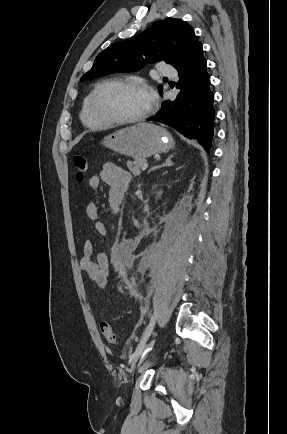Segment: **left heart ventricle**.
<instances>
[{
  "label": "left heart ventricle",
  "mask_w": 287,
  "mask_h": 434,
  "mask_svg": "<svg viewBox=\"0 0 287 434\" xmlns=\"http://www.w3.org/2000/svg\"><path fill=\"white\" fill-rule=\"evenodd\" d=\"M150 102L146 90L138 87L111 85L99 94L97 106L106 116L127 119L144 113Z\"/></svg>",
  "instance_id": "left-heart-ventricle-1"
}]
</instances>
